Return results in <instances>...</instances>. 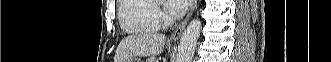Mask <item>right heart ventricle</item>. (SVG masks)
<instances>
[{"instance_id": "obj_1", "label": "right heart ventricle", "mask_w": 331, "mask_h": 62, "mask_svg": "<svg viewBox=\"0 0 331 62\" xmlns=\"http://www.w3.org/2000/svg\"><path fill=\"white\" fill-rule=\"evenodd\" d=\"M121 28L132 34L158 30L154 3L149 0H121L118 8Z\"/></svg>"}]
</instances>
